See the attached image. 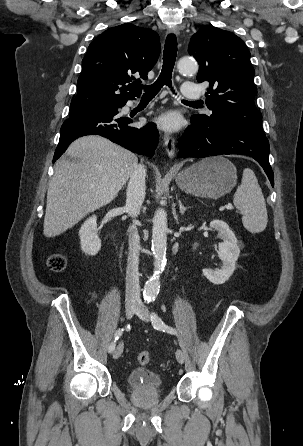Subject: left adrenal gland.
Returning <instances> with one entry per match:
<instances>
[{"instance_id":"obj_1","label":"left adrenal gland","mask_w":303,"mask_h":446,"mask_svg":"<svg viewBox=\"0 0 303 446\" xmlns=\"http://www.w3.org/2000/svg\"><path fill=\"white\" fill-rule=\"evenodd\" d=\"M178 203H179V212H180V214H184L185 211H186L187 209L191 208V206H187V207H185V206L182 204V202H181L180 199H179Z\"/></svg>"}]
</instances>
